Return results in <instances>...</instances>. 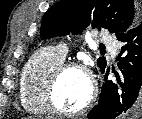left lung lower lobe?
<instances>
[{
	"instance_id": "obj_1",
	"label": "left lung lower lobe",
	"mask_w": 142,
	"mask_h": 119,
	"mask_svg": "<svg viewBox=\"0 0 142 119\" xmlns=\"http://www.w3.org/2000/svg\"><path fill=\"white\" fill-rule=\"evenodd\" d=\"M117 38L124 43L117 57L121 75L114 83L107 80L106 73L98 105L88 113V119H116L127 112L142 113V22Z\"/></svg>"
}]
</instances>
